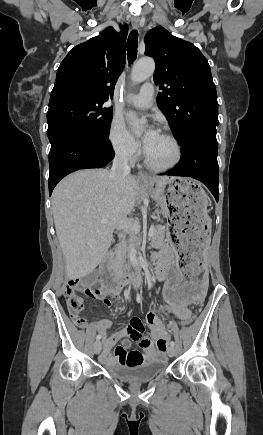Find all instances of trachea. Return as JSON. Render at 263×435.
<instances>
[{
  "label": "trachea",
  "mask_w": 263,
  "mask_h": 435,
  "mask_svg": "<svg viewBox=\"0 0 263 435\" xmlns=\"http://www.w3.org/2000/svg\"><path fill=\"white\" fill-rule=\"evenodd\" d=\"M138 32L132 30L127 40V58L129 63H133L137 57Z\"/></svg>",
  "instance_id": "obj_1"
}]
</instances>
